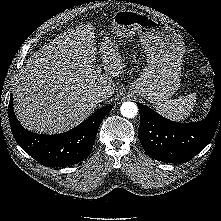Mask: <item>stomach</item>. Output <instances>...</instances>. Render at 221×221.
I'll use <instances>...</instances> for the list:
<instances>
[{"label": "stomach", "instance_id": "0dacf381", "mask_svg": "<svg viewBox=\"0 0 221 221\" xmlns=\"http://www.w3.org/2000/svg\"><path fill=\"white\" fill-rule=\"evenodd\" d=\"M112 32L123 39L137 33L147 56L144 71L131 84L128 93L144 97L154 105L168 101L181 81L185 53L182 37L162 20L132 10L114 13Z\"/></svg>", "mask_w": 221, "mask_h": 221}]
</instances>
